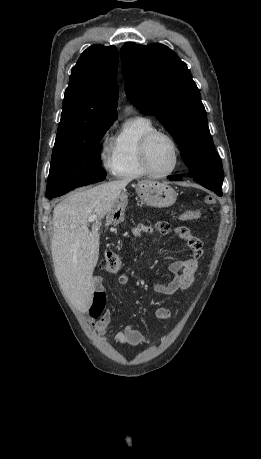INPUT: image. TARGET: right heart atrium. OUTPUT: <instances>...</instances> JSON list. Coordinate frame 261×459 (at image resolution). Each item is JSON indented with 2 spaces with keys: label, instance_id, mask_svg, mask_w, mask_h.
I'll return each mask as SVG.
<instances>
[{
  "label": "right heart atrium",
  "instance_id": "obj_1",
  "mask_svg": "<svg viewBox=\"0 0 261 459\" xmlns=\"http://www.w3.org/2000/svg\"><path fill=\"white\" fill-rule=\"evenodd\" d=\"M109 133H110L109 129L104 133V135H103L104 142H107L108 137H109ZM101 161H102L103 167L108 172L115 174V161H114L113 155L111 153V150L105 149L102 152Z\"/></svg>",
  "mask_w": 261,
  "mask_h": 459
}]
</instances>
